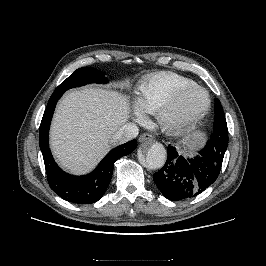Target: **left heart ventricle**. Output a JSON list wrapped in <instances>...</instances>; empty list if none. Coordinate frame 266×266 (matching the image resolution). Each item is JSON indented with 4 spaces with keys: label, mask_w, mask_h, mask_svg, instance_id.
<instances>
[{
    "label": "left heart ventricle",
    "mask_w": 266,
    "mask_h": 266,
    "mask_svg": "<svg viewBox=\"0 0 266 266\" xmlns=\"http://www.w3.org/2000/svg\"><path fill=\"white\" fill-rule=\"evenodd\" d=\"M205 105L206 98L204 93L197 89H191L179 101L175 115L193 116L200 112Z\"/></svg>",
    "instance_id": "left-heart-ventricle-1"
}]
</instances>
